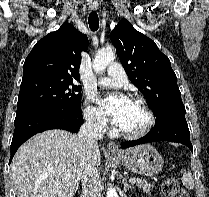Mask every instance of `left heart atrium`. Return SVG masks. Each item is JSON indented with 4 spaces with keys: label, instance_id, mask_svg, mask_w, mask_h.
I'll return each instance as SVG.
<instances>
[{
    "label": "left heart atrium",
    "instance_id": "1",
    "mask_svg": "<svg viewBox=\"0 0 209 197\" xmlns=\"http://www.w3.org/2000/svg\"><path fill=\"white\" fill-rule=\"evenodd\" d=\"M102 108L108 113L113 122L122 125L133 107V102L122 95H109L101 101Z\"/></svg>",
    "mask_w": 209,
    "mask_h": 197
}]
</instances>
